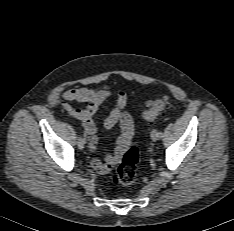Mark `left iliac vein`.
Listing matches in <instances>:
<instances>
[{"mask_svg": "<svg viewBox=\"0 0 234 231\" xmlns=\"http://www.w3.org/2000/svg\"><path fill=\"white\" fill-rule=\"evenodd\" d=\"M151 139H152L153 141H157V140L159 139V135H158V132H157L156 130H153V131L151 132Z\"/></svg>", "mask_w": 234, "mask_h": 231, "instance_id": "left-iliac-vein-1", "label": "left iliac vein"}]
</instances>
